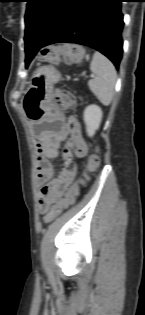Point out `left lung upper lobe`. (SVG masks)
I'll list each match as a JSON object with an SVG mask.
<instances>
[{"mask_svg":"<svg viewBox=\"0 0 145 315\" xmlns=\"http://www.w3.org/2000/svg\"><path fill=\"white\" fill-rule=\"evenodd\" d=\"M27 2L25 35H36L44 41L73 0H27Z\"/></svg>","mask_w":145,"mask_h":315,"instance_id":"obj_1","label":"left lung upper lobe"}]
</instances>
